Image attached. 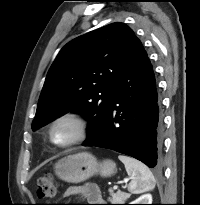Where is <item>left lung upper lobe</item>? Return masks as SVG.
Instances as JSON below:
<instances>
[{"mask_svg":"<svg viewBox=\"0 0 200 205\" xmlns=\"http://www.w3.org/2000/svg\"><path fill=\"white\" fill-rule=\"evenodd\" d=\"M137 38L123 23H112L67 43L50 67L37 106L36 130L67 112L85 115L94 140L108 114L114 84Z\"/></svg>","mask_w":200,"mask_h":205,"instance_id":"left-lung-upper-lobe-1","label":"left lung upper lobe"}]
</instances>
